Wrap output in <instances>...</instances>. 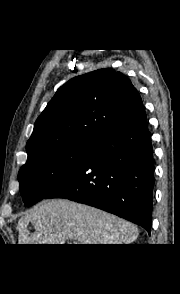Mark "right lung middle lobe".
Masks as SVG:
<instances>
[{
    "instance_id": "right-lung-middle-lobe-1",
    "label": "right lung middle lobe",
    "mask_w": 180,
    "mask_h": 294,
    "mask_svg": "<svg viewBox=\"0 0 180 294\" xmlns=\"http://www.w3.org/2000/svg\"><path fill=\"white\" fill-rule=\"evenodd\" d=\"M96 141L73 140L41 149L18 173L20 193L27 206L46 198L83 163Z\"/></svg>"
}]
</instances>
